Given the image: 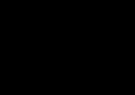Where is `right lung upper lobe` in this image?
<instances>
[{
  "mask_svg": "<svg viewBox=\"0 0 135 95\" xmlns=\"http://www.w3.org/2000/svg\"><path fill=\"white\" fill-rule=\"evenodd\" d=\"M39 15L13 14L0 28V56L9 68L21 73H36L51 59L44 47Z\"/></svg>",
  "mask_w": 135,
  "mask_h": 95,
  "instance_id": "obj_1",
  "label": "right lung upper lobe"
}]
</instances>
